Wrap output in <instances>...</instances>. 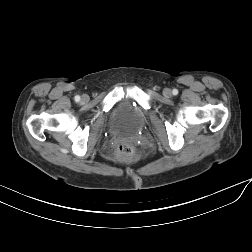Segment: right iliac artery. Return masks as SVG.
<instances>
[{
    "label": "right iliac artery",
    "instance_id": "obj_1",
    "mask_svg": "<svg viewBox=\"0 0 252 252\" xmlns=\"http://www.w3.org/2000/svg\"><path fill=\"white\" fill-rule=\"evenodd\" d=\"M80 100V96H75V101H79Z\"/></svg>",
    "mask_w": 252,
    "mask_h": 252
}]
</instances>
